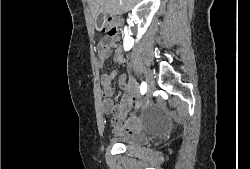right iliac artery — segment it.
Here are the masks:
<instances>
[{
	"instance_id": "82829eb1",
	"label": "right iliac artery",
	"mask_w": 250,
	"mask_h": 169,
	"mask_svg": "<svg viewBox=\"0 0 250 169\" xmlns=\"http://www.w3.org/2000/svg\"><path fill=\"white\" fill-rule=\"evenodd\" d=\"M140 91H141L142 95L146 93V91H147V84H146V82H142L141 83Z\"/></svg>"
}]
</instances>
